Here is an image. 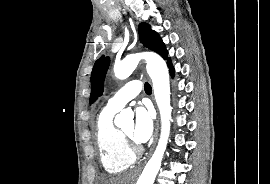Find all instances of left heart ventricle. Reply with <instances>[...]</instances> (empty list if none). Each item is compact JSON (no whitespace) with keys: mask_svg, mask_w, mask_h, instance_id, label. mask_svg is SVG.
I'll use <instances>...</instances> for the list:
<instances>
[{"mask_svg":"<svg viewBox=\"0 0 270 184\" xmlns=\"http://www.w3.org/2000/svg\"><path fill=\"white\" fill-rule=\"evenodd\" d=\"M123 131L128 134L129 136L133 137V131H134V125L133 123L127 124L124 128Z\"/></svg>","mask_w":270,"mask_h":184,"instance_id":"obj_1","label":"left heart ventricle"}]
</instances>
